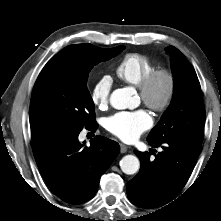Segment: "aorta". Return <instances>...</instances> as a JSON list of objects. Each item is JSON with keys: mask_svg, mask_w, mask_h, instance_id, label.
<instances>
[{"mask_svg": "<svg viewBox=\"0 0 221 221\" xmlns=\"http://www.w3.org/2000/svg\"><path fill=\"white\" fill-rule=\"evenodd\" d=\"M134 91L132 88H120L112 92L110 104L118 110L131 107ZM121 170L128 175L135 174L140 168L139 159L134 155H126L120 161Z\"/></svg>", "mask_w": 221, "mask_h": 221, "instance_id": "762f6f07", "label": "aorta"}]
</instances>
